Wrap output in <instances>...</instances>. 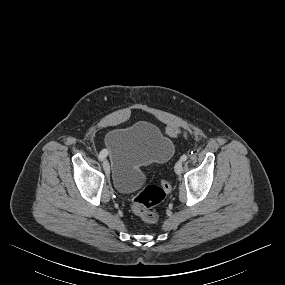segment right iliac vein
<instances>
[{"label":"right iliac vein","instance_id":"1","mask_svg":"<svg viewBox=\"0 0 285 285\" xmlns=\"http://www.w3.org/2000/svg\"><path fill=\"white\" fill-rule=\"evenodd\" d=\"M103 168H104V171H105L106 173L109 172V163H108L107 160H104V162H103Z\"/></svg>","mask_w":285,"mask_h":285}]
</instances>
